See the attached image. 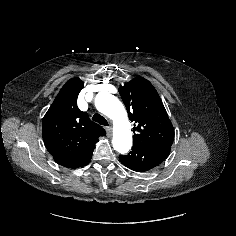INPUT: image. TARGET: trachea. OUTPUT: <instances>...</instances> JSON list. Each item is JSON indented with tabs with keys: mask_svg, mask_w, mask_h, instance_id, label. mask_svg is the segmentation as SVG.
Instances as JSON below:
<instances>
[{
	"mask_svg": "<svg viewBox=\"0 0 236 236\" xmlns=\"http://www.w3.org/2000/svg\"><path fill=\"white\" fill-rule=\"evenodd\" d=\"M92 119L95 121V122H97V123H99L100 125H103V126H108L109 124H108V122H107V120L103 117V116H101L100 114H94L93 115V117H92Z\"/></svg>",
	"mask_w": 236,
	"mask_h": 236,
	"instance_id": "obj_1",
	"label": "trachea"
}]
</instances>
